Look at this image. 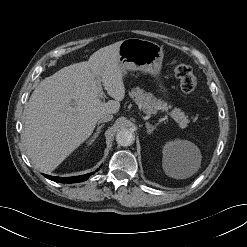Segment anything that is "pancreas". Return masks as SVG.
<instances>
[{"label": "pancreas", "mask_w": 247, "mask_h": 247, "mask_svg": "<svg viewBox=\"0 0 247 247\" xmlns=\"http://www.w3.org/2000/svg\"><path fill=\"white\" fill-rule=\"evenodd\" d=\"M129 95L146 114H155L159 110L167 111L170 108L167 103L155 98L152 94L145 93L140 88L132 89L129 92ZM172 113H174L176 122L179 124L180 127L184 128L187 126L189 120L184 112H182L178 108H175L172 110Z\"/></svg>", "instance_id": "obj_1"}]
</instances>
